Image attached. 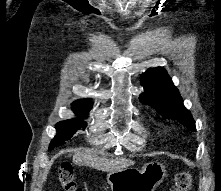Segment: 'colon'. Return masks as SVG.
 <instances>
[{
	"mask_svg": "<svg viewBox=\"0 0 221 191\" xmlns=\"http://www.w3.org/2000/svg\"><path fill=\"white\" fill-rule=\"evenodd\" d=\"M57 179L63 191H83L75 180L73 166L69 162H64L60 165ZM191 188V175L183 171L176 175L174 184L169 191H190Z\"/></svg>",
	"mask_w": 221,
	"mask_h": 191,
	"instance_id": "obj_1",
	"label": "colon"
}]
</instances>
